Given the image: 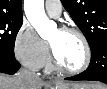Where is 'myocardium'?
Here are the masks:
<instances>
[{"mask_svg":"<svg viewBox=\"0 0 107 89\" xmlns=\"http://www.w3.org/2000/svg\"><path fill=\"white\" fill-rule=\"evenodd\" d=\"M59 30L62 32L74 34L77 37H79V39L81 40L83 47H84L85 57H84V61H83L82 65L80 67L75 68V69L68 68L59 61L53 46L51 45V43H49L50 50H51V60H52V64H53L54 68L57 69L58 71H61L63 73H67V74H78V73L83 72L84 70H86L88 68V66L90 65L91 59H92V51H91V47H90L88 39L86 38V36L84 35V33L82 31H80L79 29H77L75 27H62Z\"/></svg>","mask_w":107,"mask_h":89,"instance_id":"1","label":"myocardium"}]
</instances>
